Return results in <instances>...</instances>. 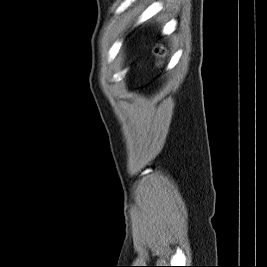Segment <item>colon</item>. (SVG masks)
I'll return each instance as SVG.
<instances>
[{"label": "colon", "mask_w": 267, "mask_h": 267, "mask_svg": "<svg viewBox=\"0 0 267 267\" xmlns=\"http://www.w3.org/2000/svg\"><path fill=\"white\" fill-rule=\"evenodd\" d=\"M154 55L156 56L158 62H161L163 57L165 56L166 50L163 46L158 45L154 48Z\"/></svg>", "instance_id": "5ec220e1"}]
</instances>
